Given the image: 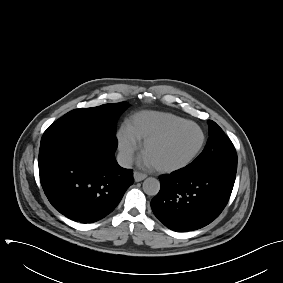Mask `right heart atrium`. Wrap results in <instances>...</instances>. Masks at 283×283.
<instances>
[{"label":"right heart atrium","instance_id":"right-heart-atrium-1","mask_svg":"<svg viewBox=\"0 0 283 283\" xmlns=\"http://www.w3.org/2000/svg\"><path fill=\"white\" fill-rule=\"evenodd\" d=\"M117 144L123 160L125 162L131 161L136 152L137 144L124 128H121L117 133Z\"/></svg>","mask_w":283,"mask_h":283}]
</instances>
